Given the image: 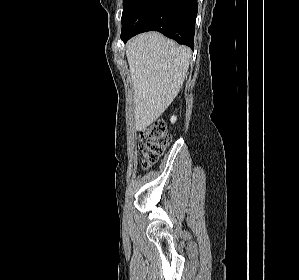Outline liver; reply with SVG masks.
<instances>
[{
    "label": "liver",
    "mask_w": 299,
    "mask_h": 280,
    "mask_svg": "<svg viewBox=\"0 0 299 280\" xmlns=\"http://www.w3.org/2000/svg\"><path fill=\"white\" fill-rule=\"evenodd\" d=\"M134 90L135 129L155 122L179 93L191 50L157 32L140 34L126 46Z\"/></svg>",
    "instance_id": "obj_1"
}]
</instances>
